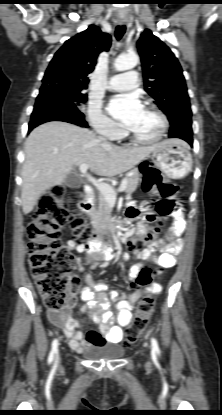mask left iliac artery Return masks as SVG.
Listing matches in <instances>:
<instances>
[{"instance_id":"obj_1","label":"left iliac artery","mask_w":222,"mask_h":415,"mask_svg":"<svg viewBox=\"0 0 222 415\" xmlns=\"http://www.w3.org/2000/svg\"><path fill=\"white\" fill-rule=\"evenodd\" d=\"M151 345H152V352L153 353H160L158 342L155 338L151 339Z\"/></svg>"}]
</instances>
